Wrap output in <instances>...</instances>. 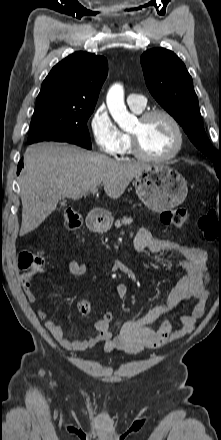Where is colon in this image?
Wrapping results in <instances>:
<instances>
[{"label": "colon", "instance_id": "obj_1", "mask_svg": "<svg viewBox=\"0 0 221 440\" xmlns=\"http://www.w3.org/2000/svg\"><path fill=\"white\" fill-rule=\"evenodd\" d=\"M160 219L163 224L168 226H174L177 228H183L187 225L189 220V212L185 208L176 207L165 210L161 213ZM82 225V217L79 213L72 209H68L64 213V227L66 230L72 231L80 228ZM199 228L203 232L204 237L208 241H215L219 238L220 223L211 214H207L199 220ZM18 264L21 270L29 271L31 269L41 268L43 265V259L38 254L31 250H23L19 254ZM77 308L80 314L87 315L91 311V304L89 300H80L77 304ZM103 321H112L114 314L112 312H103Z\"/></svg>", "mask_w": 221, "mask_h": 440}]
</instances>
